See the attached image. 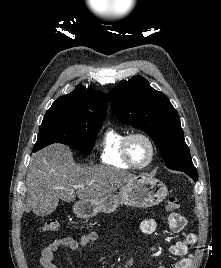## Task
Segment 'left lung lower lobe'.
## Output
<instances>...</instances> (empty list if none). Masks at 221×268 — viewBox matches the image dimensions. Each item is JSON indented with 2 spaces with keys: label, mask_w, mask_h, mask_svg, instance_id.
Instances as JSON below:
<instances>
[{
  "label": "left lung lower lobe",
  "mask_w": 221,
  "mask_h": 268,
  "mask_svg": "<svg viewBox=\"0 0 221 268\" xmlns=\"http://www.w3.org/2000/svg\"><path fill=\"white\" fill-rule=\"evenodd\" d=\"M184 173L189 175L194 181L198 180V175L196 169H191V170H182Z\"/></svg>",
  "instance_id": "obj_1"
}]
</instances>
